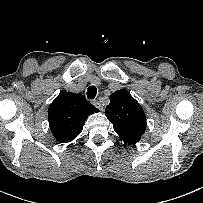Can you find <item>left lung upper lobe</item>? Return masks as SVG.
Segmentation results:
<instances>
[{"label":"left lung upper lobe","instance_id":"left-lung-upper-lobe-1","mask_svg":"<svg viewBox=\"0 0 203 203\" xmlns=\"http://www.w3.org/2000/svg\"><path fill=\"white\" fill-rule=\"evenodd\" d=\"M105 115L125 143L135 144L146 130V116L143 108L125 89L115 91L110 96Z\"/></svg>","mask_w":203,"mask_h":203}]
</instances>
